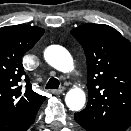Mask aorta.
<instances>
[{
    "label": "aorta",
    "mask_w": 131,
    "mask_h": 131,
    "mask_svg": "<svg viewBox=\"0 0 131 131\" xmlns=\"http://www.w3.org/2000/svg\"><path fill=\"white\" fill-rule=\"evenodd\" d=\"M45 60L55 69L69 72L73 69V60L69 52L61 46H49L44 52ZM86 101L85 93L80 88L69 90L65 97L67 107L72 111L82 109Z\"/></svg>",
    "instance_id": "obj_1"
}]
</instances>
